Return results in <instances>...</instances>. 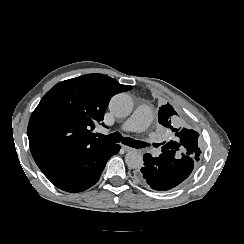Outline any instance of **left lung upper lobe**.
Segmentation results:
<instances>
[{"label":"left lung upper lobe","instance_id":"5c2ea615","mask_svg":"<svg viewBox=\"0 0 244 244\" xmlns=\"http://www.w3.org/2000/svg\"><path fill=\"white\" fill-rule=\"evenodd\" d=\"M176 115L177 112L169 103H167L166 105H162L159 108V123L164 127L171 129L176 135L174 140H171L167 143H162V151L174 150L179 156L186 155L195 159L196 161H199V157L201 154V150L198 144L199 134L189 127H173V125L175 124Z\"/></svg>","mask_w":244,"mask_h":244}]
</instances>
